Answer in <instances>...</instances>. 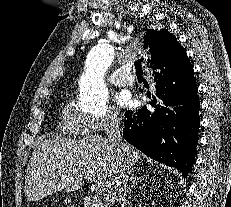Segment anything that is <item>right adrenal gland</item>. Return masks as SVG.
I'll return each instance as SVG.
<instances>
[{"label":"right adrenal gland","mask_w":231,"mask_h":207,"mask_svg":"<svg viewBox=\"0 0 231 207\" xmlns=\"http://www.w3.org/2000/svg\"><path fill=\"white\" fill-rule=\"evenodd\" d=\"M129 175H130V182H131V185H130V187L128 188L127 192H128V193H132L133 188H134L135 185L137 184V177H136V175H135V171H134V170H132V171L129 173Z\"/></svg>","instance_id":"obj_1"}]
</instances>
